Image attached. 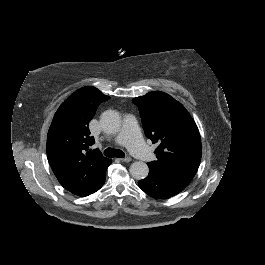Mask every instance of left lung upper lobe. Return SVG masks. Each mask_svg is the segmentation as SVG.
I'll return each instance as SVG.
<instances>
[{"instance_id":"obj_1","label":"left lung upper lobe","mask_w":265,"mask_h":265,"mask_svg":"<svg viewBox=\"0 0 265 265\" xmlns=\"http://www.w3.org/2000/svg\"><path fill=\"white\" fill-rule=\"evenodd\" d=\"M141 113L146 136L153 143L157 161L149 169L166 175L193 178L202 146L198 128L185 107L164 92H150L133 99Z\"/></svg>"}]
</instances>
